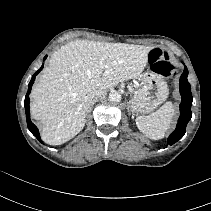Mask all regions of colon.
I'll use <instances>...</instances> for the list:
<instances>
[{
  "mask_svg": "<svg viewBox=\"0 0 211 211\" xmlns=\"http://www.w3.org/2000/svg\"><path fill=\"white\" fill-rule=\"evenodd\" d=\"M149 60L153 64L155 71L162 76L167 77L173 74V65L168 61L166 53L160 49H153L150 51Z\"/></svg>",
  "mask_w": 211,
  "mask_h": 211,
  "instance_id": "colon-1",
  "label": "colon"
}]
</instances>
